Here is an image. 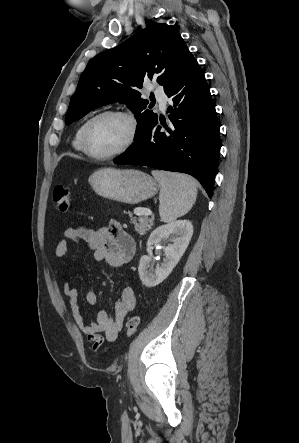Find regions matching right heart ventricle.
<instances>
[{
    "instance_id": "1",
    "label": "right heart ventricle",
    "mask_w": 299,
    "mask_h": 443,
    "mask_svg": "<svg viewBox=\"0 0 299 443\" xmlns=\"http://www.w3.org/2000/svg\"><path fill=\"white\" fill-rule=\"evenodd\" d=\"M85 123H82L78 129L76 130V133L74 135L73 141H72V145L73 148L78 151V152H84L82 145H81V134H82V129Z\"/></svg>"
}]
</instances>
